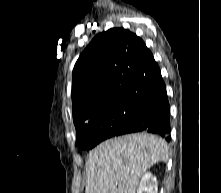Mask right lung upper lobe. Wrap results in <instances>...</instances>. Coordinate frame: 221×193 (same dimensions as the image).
I'll list each match as a JSON object with an SVG mask.
<instances>
[{"label":"right lung upper lobe","mask_w":221,"mask_h":193,"mask_svg":"<svg viewBox=\"0 0 221 193\" xmlns=\"http://www.w3.org/2000/svg\"><path fill=\"white\" fill-rule=\"evenodd\" d=\"M161 77L142 39L123 28L97 34L73 69V120L77 125L109 103L146 99Z\"/></svg>","instance_id":"obj_1"}]
</instances>
